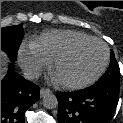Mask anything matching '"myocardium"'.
<instances>
[{
	"label": "myocardium",
	"mask_w": 123,
	"mask_h": 123,
	"mask_svg": "<svg viewBox=\"0 0 123 123\" xmlns=\"http://www.w3.org/2000/svg\"><path fill=\"white\" fill-rule=\"evenodd\" d=\"M88 43H99L104 47L105 56H104V60L102 62V65L100 66V68L97 70V72L92 77H90L89 79L84 80V81L67 82V81H62L56 77L57 82L61 87L66 88V89H70V90H77V89L86 88V87L92 85L93 83H95L102 76V74L105 72V70L108 66V63H109V58H110L109 48L106 45V43L103 42L102 40L97 39V38H89V39L77 41V42L73 43L72 45H70L69 47H67L61 53H59L52 60V72H53V74L56 76L57 67L59 66V64L61 62L66 60L68 57H70L80 47H82Z\"/></svg>",
	"instance_id": "obj_1"
}]
</instances>
